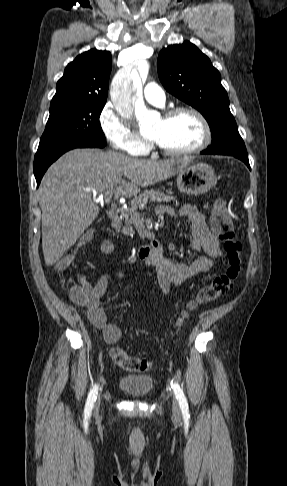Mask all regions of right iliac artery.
<instances>
[{
  "label": "right iliac artery",
  "instance_id": "right-iliac-artery-1",
  "mask_svg": "<svg viewBox=\"0 0 287 486\" xmlns=\"http://www.w3.org/2000/svg\"><path fill=\"white\" fill-rule=\"evenodd\" d=\"M97 394H98V386L95 385L91 389V391L88 395L87 401H86L85 410H84V413H85L86 416H89L91 414V411H92L93 406H94V402L96 401Z\"/></svg>",
  "mask_w": 287,
  "mask_h": 486
}]
</instances>
